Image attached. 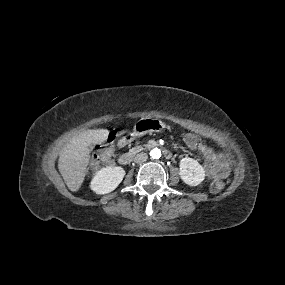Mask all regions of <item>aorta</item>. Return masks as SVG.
Here are the masks:
<instances>
[{
  "mask_svg": "<svg viewBox=\"0 0 285 285\" xmlns=\"http://www.w3.org/2000/svg\"><path fill=\"white\" fill-rule=\"evenodd\" d=\"M150 157L152 159H159L161 157V151L160 149L158 148H153L151 151H150Z\"/></svg>",
  "mask_w": 285,
  "mask_h": 285,
  "instance_id": "aorta-1",
  "label": "aorta"
}]
</instances>
